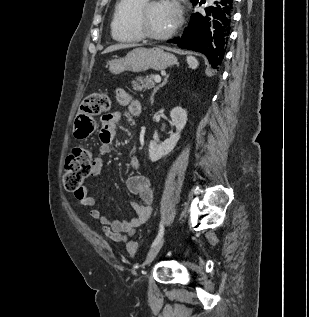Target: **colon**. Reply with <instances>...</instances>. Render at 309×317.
<instances>
[{"label": "colon", "mask_w": 309, "mask_h": 317, "mask_svg": "<svg viewBox=\"0 0 309 317\" xmlns=\"http://www.w3.org/2000/svg\"><path fill=\"white\" fill-rule=\"evenodd\" d=\"M110 108V99L105 93H92L82 102L75 119L74 128L77 138L88 137L95 129V117ZM92 153L82 147L74 148L66 158L63 177L64 187L71 192L82 188L85 179L91 174L93 165ZM129 252L136 255L137 246L128 244Z\"/></svg>", "instance_id": "1"}]
</instances>
